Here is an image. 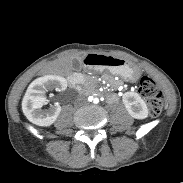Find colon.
<instances>
[{"instance_id":"1","label":"colon","mask_w":183,"mask_h":183,"mask_svg":"<svg viewBox=\"0 0 183 183\" xmlns=\"http://www.w3.org/2000/svg\"><path fill=\"white\" fill-rule=\"evenodd\" d=\"M110 57L94 55L87 62L93 66H110ZM139 92L147 100L150 115L158 116L163 109L162 91L158 84L150 77L144 76L139 82Z\"/></svg>"}]
</instances>
